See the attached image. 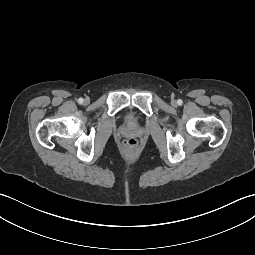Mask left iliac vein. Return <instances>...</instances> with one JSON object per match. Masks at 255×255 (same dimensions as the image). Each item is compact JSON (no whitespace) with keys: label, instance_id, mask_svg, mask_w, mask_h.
<instances>
[{"label":"left iliac vein","instance_id":"obj_1","mask_svg":"<svg viewBox=\"0 0 255 255\" xmlns=\"http://www.w3.org/2000/svg\"><path fill=\"white\" fill-rule=\"evenodd\" d=\"M172 104H173V105H176V101H175V100H173V101H172Z\"/></svg>","mask_w":255,"mask_h":255}]
</instances>
